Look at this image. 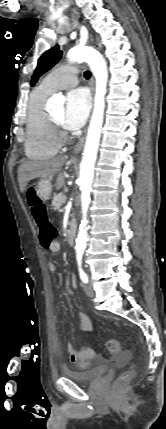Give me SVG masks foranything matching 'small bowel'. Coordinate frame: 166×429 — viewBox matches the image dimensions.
I'll return each mask as SVG.
<instances>
[{"label":"small bowel","mask_w":166,"mask_h":429,"mask_svg":"<svg viewBox=\"0 0 166 429\" xmlns=\"http://www.w3.org/2000/svg\"><path fill=\"white\" fill-rule=\"evenodd\" d=\"M48 248L51 252L56 253L60 250V243L55 240ZM48 269L51 272H55L57 269L56 264L54 262H49ZM71 285L74 288L77 286L75 276L71 277ZM77 315L79 318L80 328L85 332L91 331L93 326L90 320L87 318V316L80 310L77 311ZM67 350H68L70 361L81 368H89L102 361L101 356L98 355L96 351L89 346H83L79 349H75L69 343L67 345Z\"/></svg>","instance_id":"1"}]
</instances>
